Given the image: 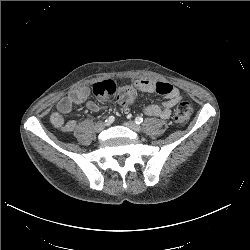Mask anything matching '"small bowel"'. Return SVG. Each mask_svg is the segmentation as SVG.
Here are the masks:
<instances>
[{
	"mask_svg": "<svg viewBox=\"0 0 250 250\" xmlns=\"http://www.w3.org/2000/svg\"><path fill=\"white\" fill-rule=\"evenodd\" d=\"M129 88L141 92H157L165 97L162 107L149 105L144 108V113L148 116L168 119L172 108L180 101V91L167 82L153 81L149 79H135L131 81ZM89 88H81L71 92L68 96L61 99L56 107V111L50 116L53 126L64 133H70L76 128L75 120H64V114L69 113L75 105L83 104L88 111L97 112L98 106L89 101Z\"/></svg>",
	"mask_w": 250,
	"mask_h": 250,
	"instance_id": "1",
	"label": "small bowel"
}]
</instances>
